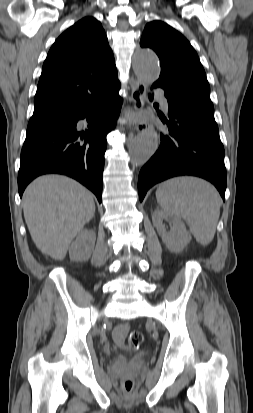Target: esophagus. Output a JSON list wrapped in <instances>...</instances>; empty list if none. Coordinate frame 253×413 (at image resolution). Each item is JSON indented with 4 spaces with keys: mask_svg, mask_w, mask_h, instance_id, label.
I'll return each instance as SVG.
<instances>
[{
    "mask_svg": "<svg viewBox=\"0 0 253 413\" xmlns=\"http://www.w3.org/2000/svg\"><path fill=\"white\" fill-rule=\"evenodd\" d=\"M146 85L137 80L132 89L131 99L133 102L134 114L132 117V124L136 131H145L149 128L147 121L137 118V114L141 113L145 106Z\"/></svg>",
    "mask_w": 253,
    "mask_h": 413,
    "instance_id": "obj_1",
    "label": "esophagus"
}]
</instances>
